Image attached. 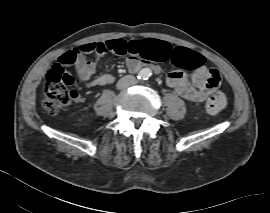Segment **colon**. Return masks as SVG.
<instances>
[{
	"mask_svg": "<svg viewBox=\"0 0 270 213\" xmlns=\"http://www.w3.org/2000/svg\"><path fill=\"white\" fill-rule=\"evenodd\" d=\"M153 44L140 46L138 41H125L114 39L105 43V50L111 54H133L146 58L150 51L154 50ZM78 49L68 50L60 56L57 62L52 64L46 72L45 90L42 106L50 115L58 114L78 98V93L72 88L73 75L71 70L72 61L78 56ZM203 59L200 55L190 56L193 66H201ZM217 73L216 70H213ZM227 105V98L222 92H216L206 102L205 110L209 114L222 112Z\"/></svg>",
	"mask_w": 270,
	"mask_h": 213,
	"instance_id": "5ec220e1",
	"label": "colon"
}]
</instances>
